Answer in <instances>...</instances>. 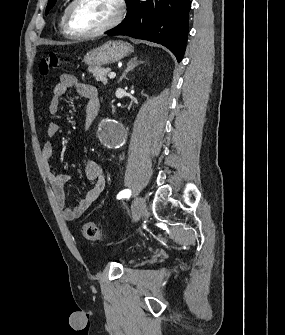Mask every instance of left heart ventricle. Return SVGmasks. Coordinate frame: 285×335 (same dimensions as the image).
Segmentation results:
<instances>
[{
    "label": "left heart ventricle",
    "instance_id": "1",
    "mask_svg": "<svg viewBox=\"0 0 285 335\" xmlns=\"http://www.w3.org/2000/svg\"><path fill=\"white\" fill-rule=\"evenodd\" d=\"M114 13L111 1H85L77 8L75 23L81 30H97L107 24Z\"/></svg>",
    "mask_w": 285,
    "mask_h": 335
}]
</instances>
